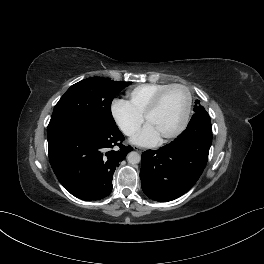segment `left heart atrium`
I'll list each match as a JSON object with an SVG mask.
<instances>
[{
  "label": "left heart atrium",
  "instance_id": "39dd6f15",
  "mask_svg": "<svg viewBox=\"0 0 264 264\" xmlns=\"http://www.w3.org/2000/svg\"><path fill=\"white\" fill-rule=\"evenodd\" d=\"M161 137L157 131L147 123L133 138L132 142L140 146H154Z\"/></svg>",
  "mask_w": 264,
  "mask_h": 264
}]
</instances>
